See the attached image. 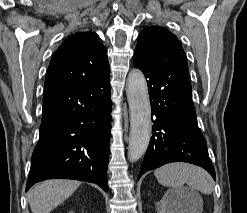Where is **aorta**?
<instances>
[{
	"instance_id": "762f6f07",
	"label": "aorta",
	"mask_w": 247,
	"mask_h": 213,
	"mask_svg": "<svg viewBox=\"0 0 247 213\" xmlns=\"http://www.w3.org/2000/svg\"><path fill=\"white\" fill-rule=\"evenodd\" d=\"M130 111L128 158L137 161L146 152L151 138V106L144 74L133 69L126 83Z\"/></svg>"
}]
</instances>
